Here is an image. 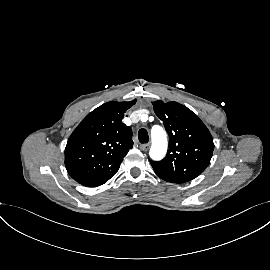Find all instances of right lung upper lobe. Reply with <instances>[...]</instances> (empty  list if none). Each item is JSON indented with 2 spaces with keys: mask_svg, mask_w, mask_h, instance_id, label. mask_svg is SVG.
<instances>
[{
  "mask_svg": "<svg viewBox=\"0 0 270 270\" xmlns=\"http://www.w3.org/2000/svg\"><path fill=\"white\" fill-rule=\"evenodd\" d=\"M135 103L107 102L89 113L73 131L65 148V165L74 180L97 187L119 170L133 147L131 128L122 119Z\"/></svg>",
  "mask_w": 270,
  "mask_h": 270,
  "instance_id": "1",
  "label": "right lung upper lobe"
}]
</instances>
